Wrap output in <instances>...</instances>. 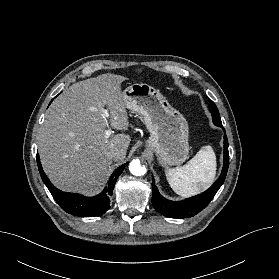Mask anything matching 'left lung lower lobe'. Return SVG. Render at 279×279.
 Here are the masks:
<instances>
[{
  "label": "left lung lower lobe",
  "instance_id": "obj_1",
  "mask_svg": "<svg viewBox=\"0 0 279 279\" xmlns=\"http://www.w3.org/2000/svg\"><path fill=\"white\" fill-rule=\"evenodd\" d=\"M225 132V129L223 128ZM229 166L228 139L224 134V164L220 177L205 192L182 201H170L160 195L156 186H152V204L154 208L164 216L171 218L192 217L203 210L215 196L223 184Z\"/></svg>",
  "mask_w": 279,
  "mask_h": 279
}]
</instances>
